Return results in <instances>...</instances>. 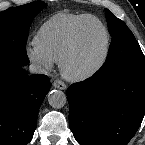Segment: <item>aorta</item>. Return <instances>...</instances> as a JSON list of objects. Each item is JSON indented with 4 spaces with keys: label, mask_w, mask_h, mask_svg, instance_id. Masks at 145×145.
I'll list each match as a JSON object with an SVG mask.
<instances>
[{
    "label": "aorta",
    "mask_w": 145,
    "mask_h": 145,
    "mask_svg": "<svg viewBox=\"0 0 145 145\" xmlns=\"http://www.w3.org/2000/svg\"><path fill=\"white\" fill-rule=\"evenodd\" d=\"M48 102L53 108H61L66 104V94L61 90H52L48 93Z\"/></svg>",
    "instance_id": "1"
}]
</instances>
